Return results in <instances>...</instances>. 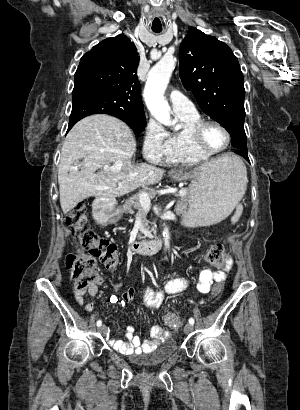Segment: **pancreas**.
<instances>
[{
	"label": "pancreas",
	"mask_w": 300,
	"mask_h": 410,
	"mask_svg": "<svg viewBox=\"0 0 300 410\" xmlns=\"http://www.w3.org/2000/svg\"><path fill=\"white\" fill-rule=\"evenodd\" d=\"M188 193L187 189H183ZM149 195L150 198L154 197V193L153 192H149L147 193ZM189 204V196L185 195L183 197L180 198V200L178 201L176 207H175V212L178 215L181 214H185L187 207ZM134 209L138 210V212L136 213V216H138L139 214H143L144 210L142 208V205L140 203V198H139V194H136L134 196H132L131 198H129L128 200H126V202L123 204V208L122 210L124 212L130 213V214H134Z\"/></svg>",
	"instance_id": "1"
}]
</instances>
